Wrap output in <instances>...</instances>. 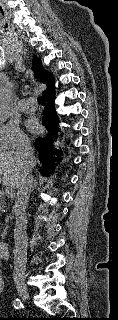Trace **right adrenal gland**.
<instances>
[{"mask_svg":"<svg viewBox=\"0 0 118 320\" xmlns=\"http://www.w3.org/2000/svg\"><path fill=\"white\" fill-rule=\"evenodd\" d=\"M37 187V182L36 179L33 180V187H32V191H34V189Z\"/></svg>","mask_w":118,"mask_h":320,"instance_id":"2a0ac1e0","label":"right adrenal gland"}]
</instances>
